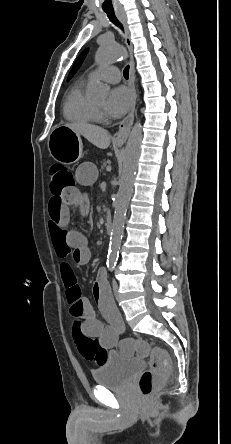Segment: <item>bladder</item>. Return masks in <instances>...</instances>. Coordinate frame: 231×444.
<instances>
[{
    "label": "bladder",
    "instance_id": "31cf9c89",
    "mask_svg": "<svg viewBox=\"0 0 231 444\" xmlns=\"http://www.w3.org/2000/svg\"><path fill=\"white\" fill-rule=\"evenodd\" d=\"M144 368V363L138 358H124L117 351L107 354L105 361L92 372L97 385L110 389L125 387L132 378Z\"/></svg>",
    "mask_w": 231,
    "mask_h": 444
}]
</instances>
